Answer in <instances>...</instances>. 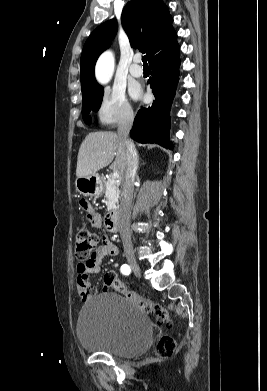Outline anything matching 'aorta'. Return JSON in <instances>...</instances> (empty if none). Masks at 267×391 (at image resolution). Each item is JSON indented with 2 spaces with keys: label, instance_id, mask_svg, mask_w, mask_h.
Here are the masks:
<instances>
[{
  "label": "aorta",
  "instance_id": "1",
  "mask_svg": "<svg viewBox=\"0 0 267 391\" xmlns=\"http://www.w3.org/2000/svg\"><path fill=\"white\" fill-rule=\"evenodd\" d=\"M114 68V57L112 52H104L96 64V77L101 84H106L112 75Z\"/></svg>",
  "mask_w": 267,
  "mask_h": 391
}]
</instances>
